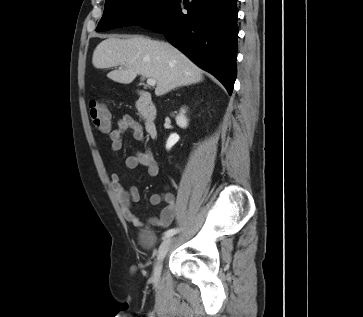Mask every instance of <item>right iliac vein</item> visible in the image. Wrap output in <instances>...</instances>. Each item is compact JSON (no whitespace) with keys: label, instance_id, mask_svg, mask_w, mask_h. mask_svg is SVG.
<instances>
[{"label":"right iliac vein","instance_id":"1","mask_svg":"<svg viewBox=\"0 0 363 317\" xmlns=\"http://www.w3.org/2000/svg\"><path fill=\"white\" fill-rule=\"evenodd\" d=\"M173 241H174L173 238L170 237L165 238L159 247L151 278L154 285H157L160 280L162 262L166 257L170 247L172 246Z\"/></svg>","mask_w":363,"mask_h":317}]
</instances>
